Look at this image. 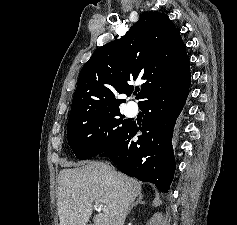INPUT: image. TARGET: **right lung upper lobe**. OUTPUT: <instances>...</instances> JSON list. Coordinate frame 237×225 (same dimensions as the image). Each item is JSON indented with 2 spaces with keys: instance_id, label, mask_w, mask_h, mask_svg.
<instances>
[{
  "instance_id": "right-lung-upper-lobe-1",
  "label": "right lung upper lobe",
  "mask_w": 237,
  "mask_h": 225,
  "mask_svg": "<svg viewBox=\"0 0 237 225\" xmlns=\"http://www.w3.org/2000/svg\"><path fill=\"white\" fill-rule=\"evenodd\" d=\"M190 78L189 57L179 30L168 15L145 13L124 37L100 47L85 63L68 122L119 109L125 100L116 97L132 93L130 81L146 80L138 95L143 101L163 84Z\"/></svg>"
}]
</instances>
